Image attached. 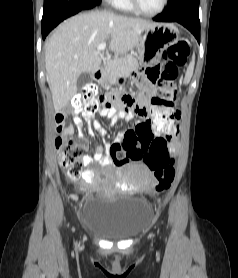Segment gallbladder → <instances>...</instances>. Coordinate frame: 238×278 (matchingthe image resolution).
Here are the masks:
<instances>
[{
	"label": "gallbladder",
	"mask_w": 238,
	"mask_h": 278,
	"mask_svg": "<svg viewBox=\"0 0 238 278\" xmlns=\"http://www.w3.org/2000/svg\"><path fill=\"white\" fill-rule=\"evenodd\" d=\"M92 81V76L90 73H82L77 80V87L81 88Z\"/></svg>",
	"instance_id": "gallbladder-1"
}]
</instances>
